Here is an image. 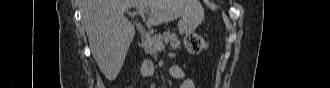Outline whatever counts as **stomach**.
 Wrapping results in <instances>:
<instances>
[{"label":"stomach","mask_w":330,"mask_h":88,"mask_svg":"<svg viewBox=\"0 0 330 88\" xmlns=\"http://www.w3.org/2000/svg\"><path fill=\"white\" fill-rule=\"evenodd\" d=\"M204 18V10L200 3L197 4V7L183 15L178 22V30L180 33H192L195 29L202 23Z\"/></svg>","instance_id":"0dacf381"}]
</instances>
